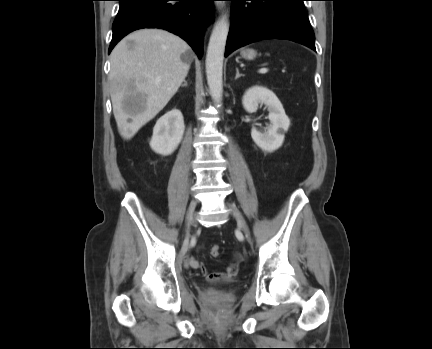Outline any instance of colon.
Returning a JSON list of instances; mask_svg holds the SVG:
<instances>
[{"label":"colon","instance_id":"colon-1","mask_svg":"<svg viewBox=\"0 0 432 349\" xmlns=\"http://www.w3.org/2000/svg\"><path fill=\"white\" fill-rule=\"evenodd\" d=\"M210 254L212 257H218L220 255V247L218 245H213L210 249Z\"/></svg>","mask_w":432,"mask_h":349}]
</instances>
